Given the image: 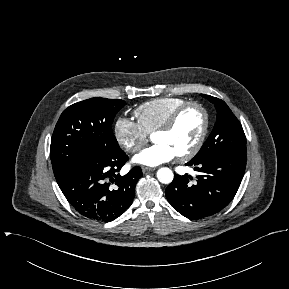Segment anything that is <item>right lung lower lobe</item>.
Masks as SVG:
<instances>
[{
  "instance_id": "obj_1",
  "label": "right lung lower lobe",
  "mask_w": 289,
  "mask_h": 289,
  "mask_svg": "<svg viewBox=\"0 0 289 289\" xmlns=\"http://www.w3.org/2000/svg\"><path fill=\"white\" fill-rule=\"evenodd\" d=\"M127 160L124 151L110 158L92 156L64 171L56 181L81 215L110 222L129 208L135 196V184L142 176L138 166L124 176L116 174Z\"/></svg>"
}]
</instances>
